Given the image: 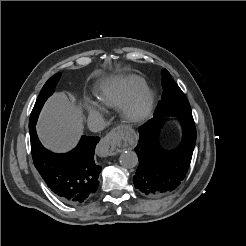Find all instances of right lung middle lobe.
Listing matches in <instances>:
<instances>
[{
	"label": "right lung middle lobe",
	"mask_w": 246,
	"mask_h": 246,
	"mask_svg": "<svg viewBox=\"0 0 246 246\" xmlns=\"http://www.w3.org/2000/svg\"><path fill=\"white\" fill-rule=\"evenodd\" d=\"M60 73L55 74L54 76H52L43 86L37 100L36 103L34 105V108L31 112L30 115V121H29V128L32 126L36 125L39 113L43 107V104L45 103V101L47 100V98L52 95L54 88L60 78Z\"/></svg>",
	"instance_id": "obj_1"
}]
</instances>
